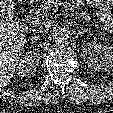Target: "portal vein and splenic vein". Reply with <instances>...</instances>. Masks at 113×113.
<instances>
[{"label": "portal vein and splenic vein", "mask_w": 113, "mask_h": 113, "mask_svg": "<svg viewBox=\"0 0 113 113\" xmlns=\"http://www.w3.org/2000/svg\"><path fill=\"white\" fill-rule=\"evenodd\" d=\"M58 5H60V4H58ZM55 7H57V5ZM54 11H56V9H54ZM39 22H40L39 17H34L33 20H32L33 24H38Z\"/></svg>", "instance_id": "obj_1"}]
</instances>
